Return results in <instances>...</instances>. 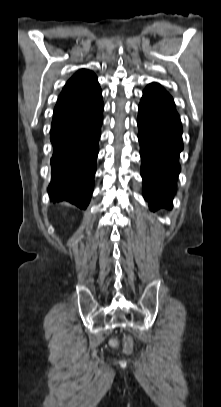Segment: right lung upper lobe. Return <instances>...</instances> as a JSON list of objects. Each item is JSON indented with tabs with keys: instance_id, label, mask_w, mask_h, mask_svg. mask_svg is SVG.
<instances>
[{
	"instance_id": "1",
	"label": "right lung upper lobe",
	"mask_w": 221,
	"mask_h": 407,
	"mask_svg": "<svg viewBox=\"0 0 221 407\" xmlns=\"http://www.w3.org/2000/svg\"><path fill=\"white\" fill-rule=\"evenodd\" d=\"M99 86L96 75L86 69L75 73L64 86L58 101L83 93Z\"/></svg>"
}]
</instances>
